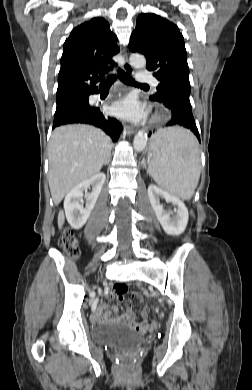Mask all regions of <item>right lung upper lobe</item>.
Returning <instances> with one entry per match:
<instances>
[{
  "instance_id": "right-lung-upper-lobe-1",
  "label": "right lung upper lobe",
  "mask_w": 252,
  "mask_h": 390,
  "mask_svg": "<svg viewBox=\"0 0 252 390\" xmlns=\"http://www.w3.org/2000/svg\"><path fill=\"white\" fill-rule=\"evenodd\" d=\"M116 41L103 18H93L72 30L63 45L57 102L97 90L96 83L114 65L112 56L119 52Z\"/></svg>"
}]
</instances>
